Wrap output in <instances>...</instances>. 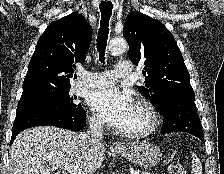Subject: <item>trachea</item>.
<instances>
[{"label":"trachea","instance_id":"obj_1","mask_svg":"<svg viewBox=\"0 0 224 174\" xmlns=\"http://www.w3.org/2000/svg\"><path fill=\"white\" fill-rule=\"evenodd\" d=\"M112 2L102 1L100 3L101 21L97 38V50L99 52V59L104 62L105 50L107 46V39L109 34V21L112 15Z\"/></svg>","mask_w":224,"mask_h":174}]
</instances>
